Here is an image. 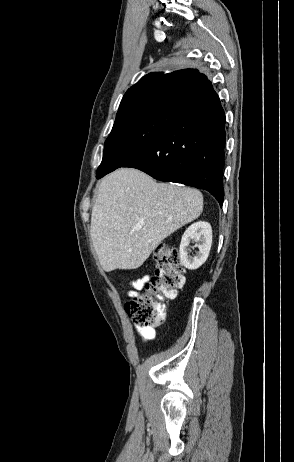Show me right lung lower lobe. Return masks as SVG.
Returning a JSON list of instances; mask_svg holds the SVG:
<instances>
[{
	"label": "right lung lower lobe",
	"mask_w": 294,
	"mask_h": 462,
	"mask_svg": "<svg viewBox=\"0 0 294 462\" xmlns=\"http://www.w3.org/2000/svg\"><path fill=\"white\" fill-rule=\"evenodd\" d=\"M184 97L187 104L175 119L121 167L140 169L160 181L205 189L222 206L223 108L212 86L202 94L187 93Z\"/></svg>",
	"instance_id": "right-lung-lower-lobe-1"
}]
</instances>
